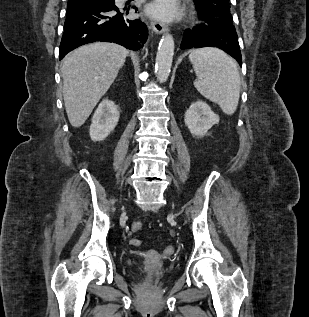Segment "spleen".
Wrapping results in <instances>:
<instances>
[{
	"label": "spleen",
	"mask_w": 309,
	"mask_h": 317,
	"mask_svg": "<svg viewBox=\"0 0 309 317\" xmlns=\"http://www.w3.org/2000/svg\"><path fill=\"white\" fill-rule=\"evenodd\" d=\"M197 79L194 86L206 99L217 103L227 115L238 106L240 74L235 61L217 48H200L189 55Z\"/></svg>",
	"instance_id": "1"
}]
</instances>
